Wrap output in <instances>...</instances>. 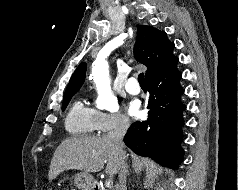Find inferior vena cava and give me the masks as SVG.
Here are the masks:
<instances>
[{"label": "inferior vena cava", "instance_id": "602c4592", "mask_svg": "<svg viewBox=\"0 0 238 190\" xmlns=\"http://www.w3.org/2000/svg\"><path fill=\"white\" fill-rule=\"evenodd\" d=\"M129 128V121L127 118L122 117L118 120L116 127L113 131L108 133V138L114 143L116 148L120 153V162H119V185L116 187V190H125L126 187V164L124 162L125 153L123 150V138L126 134L127 129Z\"/></svg>", "mask_w": 238, "mask_h": 190}]
</instances>
